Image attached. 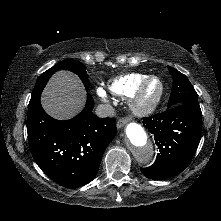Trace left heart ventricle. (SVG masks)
Masks as SVG:
<instances>
[{
    "label": "left heart ventricle",
    "mask_w": 221,
    "mask_h": 221,
    "mask_svg": "<svg viewBox=\"0 0 221 221\" xmlns=\"http://www.w3.org/2000/svg\"><path fill=\"white\" fill-rule=\"evenodd\" d=\"M160 89L159 82L157 80L151 81L144 92V99L146 101H150L156 97Z\"/></svg>",
    "instance_id": "left-heart-ventricle-1"
}]
</instances>
